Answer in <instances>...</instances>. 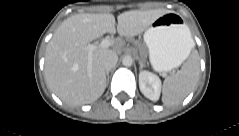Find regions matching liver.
<instances>
[{
	"instance_id": "liver-1",
	"label": "liver",
	"mask_w": 239,
	"mask_h": 136,
	"mask_svg": "<svg viewBox=\"0 0 239 136\" xmlns=\"http://www.w3.org/2000/svg\"><path fill=\"white\" fill-rule=\"evenodd\" d=\"M167 10L126 11L117 17L112 14H76L64 20L47 45L45 78L50 89L66 104L80 105L97 100L106 88V72L100 57L108 48H98L89 64V42L116 30L122 37L142 34Z\"/></svg>"
}]
</instances>
